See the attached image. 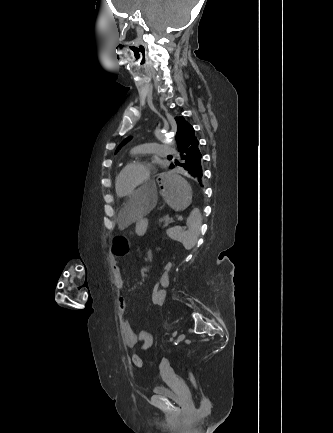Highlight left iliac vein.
<instances>
[{
  "label": "left iliac vein",
  "mask_w": 333,
  "mask_h": 433,
  "mask_svg": "<svg viewBox=\"0 0 333 433\" xmlns=\"http://www.w3.org/2000/svg\"><path fill=\"white\" fill-rule=\"evenodd\" d=\"M185 339V335L184 334H180L178 337H177V341L178 342H181V341H183Z\"/></svg>",
  "instance_id": "obj_1"
}]
</instances>
